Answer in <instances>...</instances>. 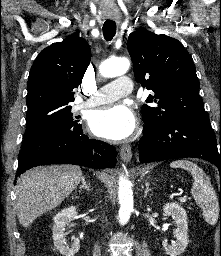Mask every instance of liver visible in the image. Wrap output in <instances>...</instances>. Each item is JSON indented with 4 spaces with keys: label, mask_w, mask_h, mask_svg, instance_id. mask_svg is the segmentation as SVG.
<instances>
[{
    "label": "liver",
    "mask_w": 221,
    "mask_h": 256,
    "mask_svg": "<svg viewBox=\"0 0 221 256\" xmlns=\"http://www.w3.org/2000/svg\"><path fill=\"white\" fill-rule=\"evenodd\" d=\"M82 171L75 165L35 167L23 173L16 183V213L28 228L33 221L58 205L78 186Z\"/></svg>",
    "instance_id": "6515ba94"
}]
</instances>
